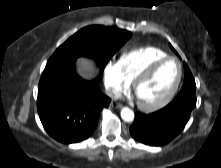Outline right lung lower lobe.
<instances>
[{
    "instance_id": "right-lung-lower-lobe-1",
    "label": "right lung lower lobe",
    "mask_w": 221,
    "mask_h": 168,
    "mask_svg": "<svg viewBox=\"0 0 221 168\" xmlns=\"http://www.w3.org/2000/svg\"><path fill=\"white\" fill-rule=\"evenodd\" d=\"M110 98L96 81H85L75 72V60L46 64L38 85L37 109L46 132L70 144L87 139Z\"/></svg>"
}]
</instances>
